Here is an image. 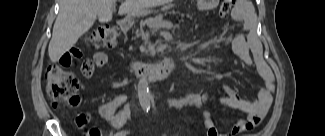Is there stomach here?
<instances>
[{"label":"stomach","instance_id":"stomach-1","mask_svg":"<svg viewBox=\"0 0 325 136\" xmlns=\"http://www.w3.org/2000/svg\"><path fill=\"white\" fill-rule=\"evenodd\" d=\"M219 0H198V6L200 9H211L212 7L216 6L218 4ZM171 8L177 7L176 1L170 2Z\"/></svg>","mask_w":325,"mask_h":136}]
</instances>
